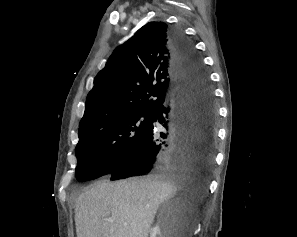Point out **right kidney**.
<instances>
[{
    "label": "right kidney",
    "instance_id": "obj_1",
    "mask_svg": "<svg viewBox=\"0 0 297 237\" xmlns=\"http://www.w3.org/2000/svg\"><path fill=\"white\" fill-rule=\"evenodd\" d=\"M150 237H163L161 230L158 225L154 226L150 230Z\"/></svg>",
    "mask_w": 297,
    "mask_h": 237
}]
</instances>
